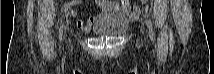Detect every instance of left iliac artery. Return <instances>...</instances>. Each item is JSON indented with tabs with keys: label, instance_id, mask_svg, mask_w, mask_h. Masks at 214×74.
Segmentation results:
<instances>
[{
	"label": "left iliac artery",
	"instance_id": "obj_1",
	"mask_svg": "<svg viewBox=\"0 0 214 74\" xmlns=\"http://www.w3.org/2000/svg\"><path fill=\"white\" fill-rule=\"evenodd\" d=\"M146 25H147V27L149 29V36H150L151 39H153V37H154V30H153L151 21L146 19Z\"/></svg>",
	"mask_w": 214,
	"mask_h": 74
}]
</instances>
